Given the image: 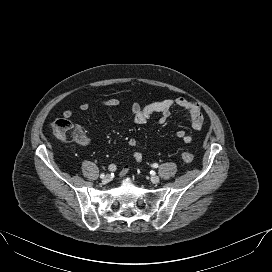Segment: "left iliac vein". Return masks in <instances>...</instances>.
Returning a JSON list of instances; mask_svg holds the SVG:
<instances>
[{"instance_id": "obj_1", "label": "left iliac vein", "mask_w": 272, "mask_h": 272, "mask_svg": "<svg viewBox=\"0 0 272 272\" xmlns=\"http://www.w3.org/2000/svg\"><path fill=\"white\" fill-rule=\"evenodd\" d=\"M150 180L152 183L157 184V183H159L160 178L157 175H152Z\"/></svg>"}]
</instances>
